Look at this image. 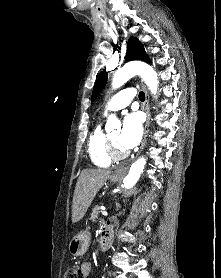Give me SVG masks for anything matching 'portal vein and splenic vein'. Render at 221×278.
I'll return each instance as SVG.
<instances>
[{
	"instance_id": "1",
	"label": "portal vein and splenic vein",
	"mask_w": 221,
	"mask_h": 278,
	"mask_svg": "<svg viewBox=\"0 0 221 278\" xmlns=\"http://www.w3.org/2000/svg\"><path fill=\"white\" fill-rule=\"evenodd\" d=\"M102 214H103L104 216H107V215H108V212H107L106 210H103V211H102Z\"/></svg>"
}]
</instances>
